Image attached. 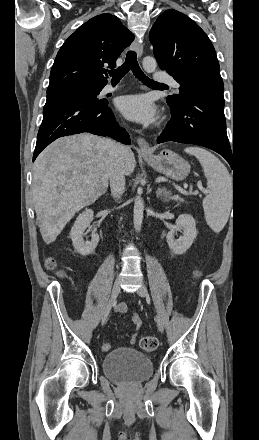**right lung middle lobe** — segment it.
I'll return each instance as SVG.
<instances>
[{"label": "right lung middle lobe", "mask_w": 259, "mask_h": 440, "mask_svg": "<svg viewBox=\"0 0 259 440\" xmlns=\"http://www.w3.org/2000/svg\"><path fill=\"white\" fill-rule=\"evenodd\" d=\"M101 90H102V88L76 87V88H72V89H68V90H64V91H60V92L47 94V98L52 97V96H65V95H72V94L98 95Z\"/></svg>", "instance_id": "1"}]
</instances>
